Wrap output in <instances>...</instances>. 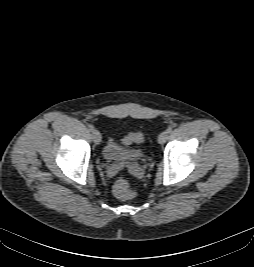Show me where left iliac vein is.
Segmentation results:
<instances>
[{"label":"left iliac vein","instance_id":"1","mask_svg":"<svg viewBox=\"0 0 254 267\" xmlns=\"http://www.w3.org/2000/svg\"><path fill=\"white\" fill-rule=\"evenodd\" d=\"M167 138H168V132L167 131L160 133L158 136V143L164 144L166 142Z\"/></svg>","mask_w":254,"mask_h":267}]
</instances>
